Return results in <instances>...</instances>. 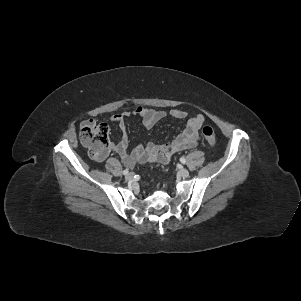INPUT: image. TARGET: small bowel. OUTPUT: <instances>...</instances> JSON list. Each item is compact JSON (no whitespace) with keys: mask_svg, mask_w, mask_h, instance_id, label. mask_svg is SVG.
Here are the masks:
<instances>
[{"mask_svg":"<svg viewBox=\"0 0 301 301\" xmlns=\"http://www.w3.org/2000/svg\"><path fill=\"white\" fill-rule=\"evenodd\" d=\"M133 113L142 119L144 126L148 129L152 128L166 116L164 111L142 106L135 108ZM169 114L176 120H183L188 116L186 111L180 109H173ZM129 115L130 112L124 111L111 117V122L116 124L121 131V138L118 142L111 144L108 151L117 154L122 163L127 167H133L137 163L146 162L167 163L176 153L194 148L199 142V130L204 123V116L196 114L188 119L184 130L169 144L157 145L149 142L146 145L139 144L130 151L125 125V119Z\"/></svg>","mask_w":301,"mask_h":301,"instance_id":"small-bowel-1","label":"small bowel"}]
</instances>
